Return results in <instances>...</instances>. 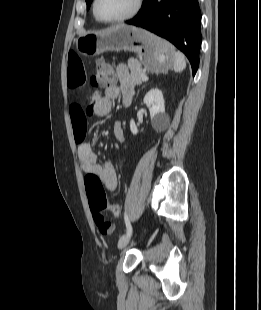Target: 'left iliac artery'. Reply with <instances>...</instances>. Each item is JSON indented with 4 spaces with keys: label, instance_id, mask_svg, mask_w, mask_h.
Instances as JSON below:
<instances>
[{
    "label": "left iliac artery",
    "instance_id": "left-iliac-artery-1",
    "mask_svg": "<svg viewBox=\"0 0 261 310\" xmlns=\"http://www.w3.org/2000/svg\"><path fill=\"white\" fill-rule=\"evenodd\" d=\"M124 220H125V224H126V228H127V233L130 234L132 231V227H131L127 213H125V215H124Z\"/></svg>",
    "mask_w": 261,
    "mask_h": 310
}]
</instances>
